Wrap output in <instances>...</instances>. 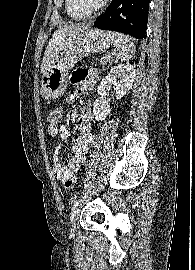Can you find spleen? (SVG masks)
<instances>
[{
	"instance_id": "1",
	"label": "spleen",
	"mask_w": 195,
	"mask_h": 270,
	"mask_svg": "<svg viewBox=\"0 0 195 270\" xmlns=\"http://www.w3.org/2000/svg\"><path fill=\"white\" fill-rule=\"evenodd\" d=\"M109 37L117 51V59L129 60L136 51L134 43L125 35L117 32H108Z\"/></svg>"
}]
</instances>
